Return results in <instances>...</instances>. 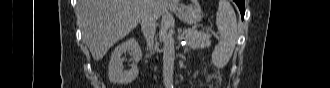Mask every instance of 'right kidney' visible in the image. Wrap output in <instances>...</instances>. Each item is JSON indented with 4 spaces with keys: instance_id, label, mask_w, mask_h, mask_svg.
Masks as SVG:
<instances>
[{
    "instance_id": "1",
    "label": "right kidney",
    "mask_w": 330,
    "mask_h": 88,
    "mask_svg": "<svg viewBox=\"0 0 330 88\" xmlns=\"http://www.w3.org/2000/svg\"><path fill=\"white\" fill-rule=\"evenodd\" d=\"M129 52L134 63L129 71H124L122 54ZM142 58V51L138 41L134 38H129L125 42L115 47L108 67V78L113 83L127 84L131 83L139 74L137 63Z\"/></svg>"
}]
</instances>
